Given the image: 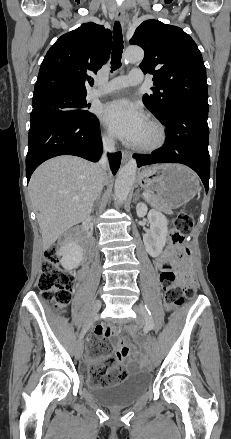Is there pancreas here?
I'll list each match as a JSON object with an SVG mask.
<instances>
[{
  "mask_svg": "<svg viewBox=\"0 0 231 439\" xmlns=\"http://www.w3.org/2000/svg\"><path fill=\"white\" fill-rule=\"evenodd\" d=\"M149 194H150V196L146 197V201H147L151 206H153V207H155V208L162 209V206H161V203H160L158 197H157L155 194H153V193H149ZM162 210H163V209H162ZM166 211H168V210H166Z\"/></svg>",
  "mask_w": 231,
  "mask_h": 439,
  "instance_id": "cf45deb5",
  "label": "pancreas"
}]
</instances>
